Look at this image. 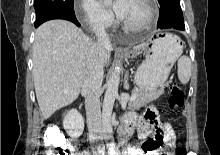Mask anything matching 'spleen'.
Instances as JSON below:
<instances>
[{
    "label": "spleen",
    "instance_id": "obj_1",
    "mask_svg": "<svg viewBox=\"0 0 220 155\" xmlns=\"http://www.w3.org/2000/svg\"><path fill=\"white\" fill-rule=\"evenodd\" d=\"M178 79L182 84H187L191 76V60L188 56H181L178 60Z\"/></svg>",
    "mask_w": 220,
    "mask_h": 155
}]
</instances>
